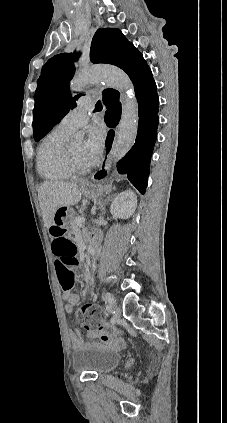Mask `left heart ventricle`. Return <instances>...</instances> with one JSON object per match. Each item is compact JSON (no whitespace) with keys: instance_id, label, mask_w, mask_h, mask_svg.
<instances>
[{"instance_id":"left-heart-ventricle-1","label":"left heart ventricle","mask_w":227,"mask_h":423,"mask_svg":"<svg viewBox=\"0 0 227 423\" xmlns=\"http://www.w3.org/2000/svg\"><path fill=\"white\" fill-rule=\"evenodd\" d=\"M70 148H71V151H72L74 157L76 158V160L80 164L86 165L84 158H83L84 144L82 142L75 143Z\"/></svg>"}]
</instances>
